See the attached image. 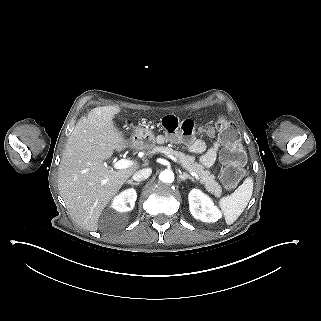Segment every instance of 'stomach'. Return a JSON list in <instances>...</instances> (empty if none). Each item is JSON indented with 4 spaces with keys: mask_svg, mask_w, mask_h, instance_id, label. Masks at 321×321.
I'll return each mask as SVG.
<instances>
[{
    "mask_svg": "<svg viewBox=\"0 0 321 321\" xmlns=\"http://www.w3.org/2000/svg\"><path fill=\"white\" fill-rule=\"evenodd\" d=\"M128 142L129 146L135 149L151 150L156 146V136L153 130L143 126H136Z\"/></svg>",
    "mask_w": 321,
    "mask_h": 321,
    "instance_id": "0dacf381",
    "label": "stomach"
}]
</instances>
